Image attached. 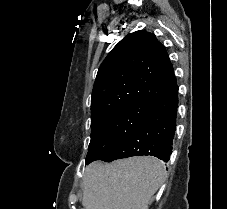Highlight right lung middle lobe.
I'll return each mask as SVG.
<instances>
[{
    "label": "right lung middle lobe",
    "mask_w": 227,
    "mask_h": 209,
    "mask_svg": "<svg viewBox=\"0 0 227 209\" xmlns=\"http://www.w3.org/2000/svg\"><path fill=\"white\" fill-rule=\"evenodd\" d=\"M102 111L91 117V141L85 164L101 160L144 120L149 105L127 98L105 100Z\"/></svg>",
    "instance_id": "right-lung-middle-lobe-1"
}]
</instances>
